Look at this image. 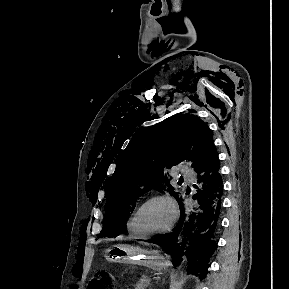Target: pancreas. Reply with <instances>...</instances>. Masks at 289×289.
Returning <instances> with one entry per match:
<instances>
[{
  "label": "pancreas",
  "mask_w": 289,
  "mask_h": 289,
  "mask_svg": "<svg viewBox=\"0 0 289 289\" xmlns=\"http://www.w3.org/2000/svg\"><path fill=\"white\" fill-rule=\"evenodd\" d=\"M149 284L150 279L147 276H142L135 289H145V287L149 286Z\"/></svg>",
  "instance_id": "pancreas-1"
}]
</instances>
